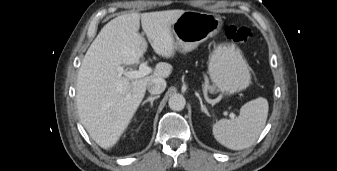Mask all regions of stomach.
Masks as SVG:
<instances>
[{
    "mask_svg": "<svg viewBox=\"0 0 337 171\" xmlns=\"http://www.w3.org/2000/svg\"><path fill=\"white\" fill-rule=\"evenodd\" d=\"M222 25L217 15L187 10L172 25V31L178 49L187 53L216 35ZM208 74L213 87L225 95L240 92L251 82L249 65L235 44L226 43L215 48L209 59Z\"/></svg>",
    "mask_w": 337,
    "mask_h": 171,
    "instance_id": "0dacf381",
    "label": "stomach"
}]
</instances>
